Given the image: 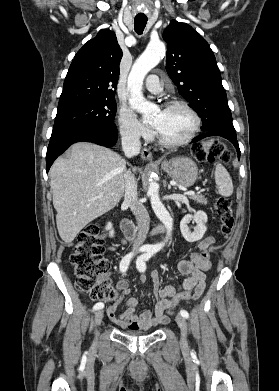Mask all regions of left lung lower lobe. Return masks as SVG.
<instances>
[{"label": "left lung lower lobe", "mask_w": 279, "mask_h": 391, "mask_svg": "<svg viewBox=\"0 0 279 391\" xmlns=\"http://www.w3.org/2000/svg\"><path fill=\"white\" fill-rule=\"evenodd\" d=\"M213 135H216V136H221V137H224L226 139H228L236 148L237 150V153H238V158L240 157V149H239V145H238V142H237V137H236V133H227V132H224V131H209V132H206L204 134H201L199 135L198 137H196L193 142H196V141H199L205 137H209V136H213Z\"/></svg>", "instance_id": "obj_1"}]
</instances>
